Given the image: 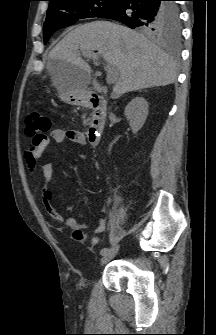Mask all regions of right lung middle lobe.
<instances>
[{
    "instance_id": "obj_1",
    "label": "right lung middle lobe",
    "mask_w": 216,
    "mask_h": 335,
    "mask_svg": "<svg viewBox=\"0 0 216 335\" xmlns=\"http://www.w3.org/2000/svg\"><path fill=\"white\" fill-rule=\"evenodd\" d=\"M120 0H54L49 4L47 17L44 23V43L58 29L75 23L78 19L88 17H103L110 12ZM176 4V3H175ZM177 6V5H176ZM153 35L179 36L180 21L177 19L173 25L159 33L144 30Z\"/></svg>"
}]
</instances>
